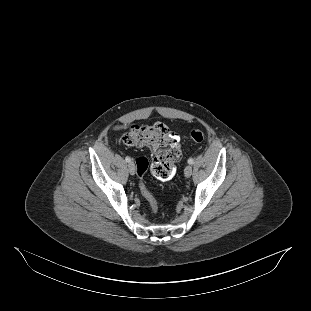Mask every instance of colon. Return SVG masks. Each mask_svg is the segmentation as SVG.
Here are the masks:
<instances>
[{
  "mask_svg": "<svg viewBox=\"0 0 311 311\" xmlns=\"http://www.w3.org/2000/svg\"><path fill=\"white\" fill-rule=\"evenodd\" d=\"M190 137L195 142H202L204 133L200 129H193ZM120 142L125 146L146 147L154 154L151 164L146 157L140 156L136 159V165L141 193L148 201L152 212L157 214L158 203L147 189L143 178L149 167L159 180L168 181L173 178L174 163L181 157L177 135L162 123L151 126L136 125L122 136Z\"/></svg>",
  "mask_w": 311,
  "mask_h": 311,
  "instance_id": "1",
  "label": "colon"
}]
</instances>
